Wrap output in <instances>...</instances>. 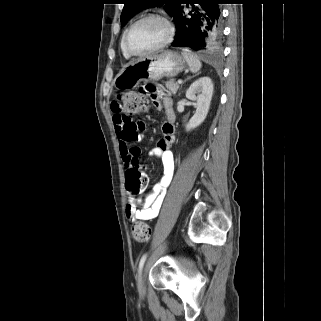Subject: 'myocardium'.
Masks as SVG:
<instances>
[{"instance_id": "f54148a6", "label": "myocardium", "mask_w": 321, "mask_h": 321, "mask_svg": "<svg viewBox=\"0 0 321 321\" xmlns=\"http://www.w3.org/2000/svg\"><path fill=\"white\" fill-rule=\"evenodd\" d=\"M148 19H155L158 20L160 22H162V24L165 27L166 30V35L165 38L156 46L145 50L143 52H132L128 45H127V38L128 35L130 33V31L140 22L144 21V20H148ZM175 36V29L172 25V23L169 21V19L160 14V13H155V12H151V13H146L142 16H140L138 19H136L133 23H131L129 25V27L125 30L123 37H122V45H123V49L124 51L130 56V57H142L151 53H155L157 51H160L162 49H164L165 47H167L168 45H170L174 39Z\"/></svg>"}]
</instances>
